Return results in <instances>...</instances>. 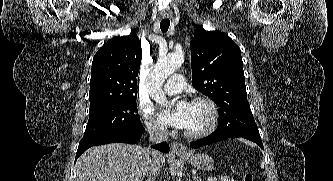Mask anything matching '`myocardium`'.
Instances as JSON below:
<instances>
[{"label":"myocardium","instance_id":"myocardium-1","mask_svg":"<svg viewBox=\"0 0 333 181\" xmlns=\"http://www.w3.org/2000/svg\"><path fill=\"white\" fill-rule=\"evenodd\" d=\"M191 104H202L207 108L208 111V122L207 124L197 131H184V135L188 138H201L207 136L215 130L218 124V109L216 104L208 97L200 96L192 99Z\"/></svg>","mask_w":333,"mask_h":181}]
</instances>
